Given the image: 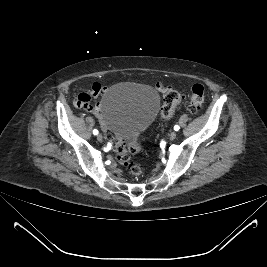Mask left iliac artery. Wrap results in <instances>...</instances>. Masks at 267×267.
Listing matches in <instances>:
<instances>
[{"label":"left iliac artery","mask_w":267,"mask_h":267,"mask_svg":"<svg viewBox=\"0 0 267 267\" xmlns=\"http://www.w3.org/2000/svg\"><path fill=\"white\" fill-rule=\"evenodd\" d=\"M179 129H180V127H179L178 125H175V126H174V130H175V131H178Z\"/></svg>","instance_id":"obj_1"}]
</instances>
